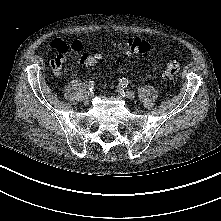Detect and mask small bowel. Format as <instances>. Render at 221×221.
<instances>
[{
    "instance_id": "small-bowel-1",
    "label": "small bowel",
    "mask_w": 221,
    "mask_h": 221,
    "mask_svg": "<svg viewBox=\"0 0 221 221\" xmlns=\"http://www.w3.org/2000/svg\"><path fill=\"white\" fill-rule=\"evenodd\" d=\"M50 46L58 52L57 56L51 61V68L55 75L61 73L62 66L66 63V54L68 52L73 51L76 54L83 55L87 51L86 46L79 41L67 43L60 39H54Z\"/></svg>"
}]
</instances>
